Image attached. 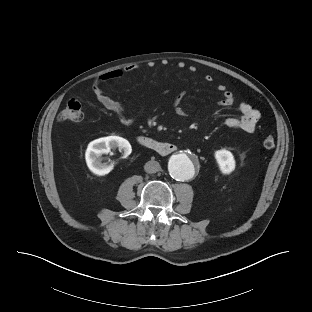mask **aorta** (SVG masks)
<instances>
[{
	"label": "aorta",
	"instance_id": "762f6f07",
	"mask_svg": "<svg viewBox=\"0 0 312 312\" xmlns=\"http://www.w3.org/2000/svg\"><path fill=\"white\" fill-rule=\"evenodd\" d=\"M197 166L198 161L196 158L186 154H178L170 158L168 170L174 179L186 181L194 176Z\"/></svg>",
	"mask_w": 312,
	"mask_h": 312
}]
</instances>
